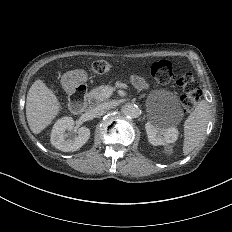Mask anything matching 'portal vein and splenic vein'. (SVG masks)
Segmentation results:
<instances>
[{
    "instance_id": "1",
    "label": "portal vein and splenic vein",
    "mask_w": 232,
    "mask_h": 232,
    "mask_svg": "<svg viewBox=\"0 0 232 232\" xmlns=\"http://www.w3.org/2000/svg\"><path fill=\"white\" fill-rule=\"evenodd\" d=\"M116 87H122V88H125V89H126L128 86H127L126 84H124V83H117V84H116ZM113 91H115V87H110V88H108V89L106 90V92H105L106 97H110L111 94L113 93Z\"/></svg>"
}]
</instances>
